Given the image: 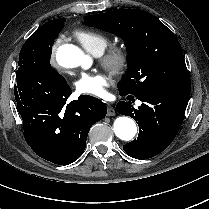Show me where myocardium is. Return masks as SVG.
<instances>
[{
    "label": "myocardium",
    "mask_w": 209,
    "mask_h": 209,
    "mask_svg": "<svg viewBox=\"0 0 209 209\" xmlns=\"http://www.w3.org/2000/svg\"><path fill=\"white\" fill-rule=\"evenodd\" d=\"M128 51L123 45H114L103 55L101 62L111 73L121 71L127 64Z\"/></svg>",
    "instance_id": "myocardium-1"
}]
</instances>
